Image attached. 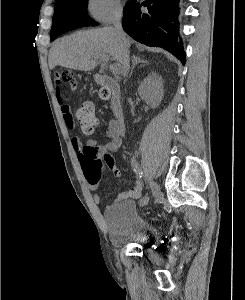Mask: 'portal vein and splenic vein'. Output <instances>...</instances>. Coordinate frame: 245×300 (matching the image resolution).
I'll use <instances>...</instances> for the list:
<instances>
[{"label":"portal vein and splenic vein","instance_id":"18ae733b","mask_svg":"<svg viewBox=\"0 0 245 300\" xmlns=\"http://www.w3.org/2000/svg\"><path fill=\"white\" fill-rule=\"evenodd\" d=\"M109 60L108 57L106 56H103L99 59V61H102V62H107ZM111 71L114 73V74H119L120 71H121V68H120V65L119 64H114L111 66Z\"/></svg>","mask_w":245,"mask_h":300}]
</instances>
